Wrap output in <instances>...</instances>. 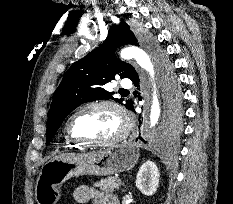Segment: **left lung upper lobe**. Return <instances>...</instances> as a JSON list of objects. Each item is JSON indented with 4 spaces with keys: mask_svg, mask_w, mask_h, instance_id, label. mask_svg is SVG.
Here are the masks:
<instances>
[{
    "mask_svg": "<svg viewBox=\"0 0 233 204\" xmlns=\"http://www.w3.org/2000/svg\"><path fill=\"white\" fill-rule=\"evenodd\" d=\"M134 33L125 22L113 26L103 44L90 52L81 60L75 62L65 73L60 85L53 94V100L48 112L46 145L50 143L56 131L61 126L66 116L79 104L111 98L120 104L123 99L112 97L114 92H109L104 85L115 76L131 78L136 73L133 66L121 62L115 57L114 50L124 44L138 46ZM150 49L163 73L166 96V122L173 124L178 129L181 117L180 92L176 87L171 66L160 49L150 42ZM132 104L127 100L124 106Z\"/></svg>",
    "mask_w": 233,
    "mask_h": 204,
    "instance_id": "left-lung-upper-lobe-1",
    "label": "left lung upper lobe"
}]
</instances>
